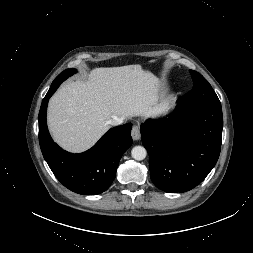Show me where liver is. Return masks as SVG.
Returning a JSON list of instances; mask_svg holds the SVG:
<instances>
[{
  "label": "liver",
  "mask_w": 253,
  "mask_h": 253,
  "mask_svg": "<svg viewBox=\"0 0 253 253\" xmlns=\"http://www.w3.org/2000/svg\"><path fill=\"white\" fill-rule=\"evenodd\" d=\"M160 87V80L141 65L95 68L87 80L67 83L51 97L49 131L64 149L83 152L101 138L114 117L166 115L170 101Z\"/></svg>",
  "instance_id": "1"
}]
</instances>
